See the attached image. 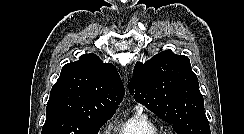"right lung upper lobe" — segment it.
I'll list each match as a JSON object with an SVG mask.
<instances>
[{"mask_svg": "<svg viewBox=\"0 0 244 134\" xmlns=\"http://www.w3.org/2000/svg\"><path fill=\"white\" fill-rule=\"evenodd\" d=\"M123 96L124 86L116 68L95 54H85L63 66L47 108L80 116H112Z\"/></svg>", "mask_w": 244, "mask_h": 134, "instance_id": "obj_1", "label": "right lung upper lobe"}]
</instances>
